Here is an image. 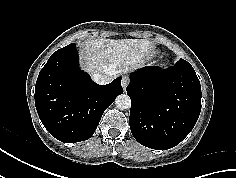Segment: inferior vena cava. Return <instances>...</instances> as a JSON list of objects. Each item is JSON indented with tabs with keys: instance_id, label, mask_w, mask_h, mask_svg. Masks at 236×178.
I'll list each match as a JSON object with an SVG mask.
<instances>
[{
	"instance_id": "602c4592",
	"label": "inferior vena cava",
	"mask_w": 236,
	"mask_h": 178,
	"mask_svg": "<svg viewBox=\"0 0 236 178\" xmlns=\"http://www.w3.org/2000/svg\"><path fill=\"white\" fill-rule=\"evenodd\" d=\"M114 74V72L109 74H94L92 79L98 84L105 85L109 84L113 80Z\"/></svg>"
}]
</instances>
